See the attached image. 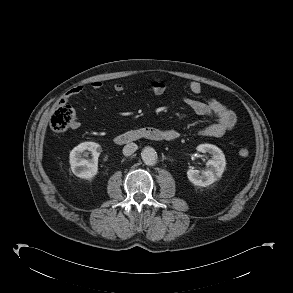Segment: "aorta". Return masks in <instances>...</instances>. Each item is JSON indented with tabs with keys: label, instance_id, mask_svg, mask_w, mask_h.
Masks as SVG:
<instances>
[{
	"label": "aorta",
	"instance_id": "762f6f07",
	"mask_svg": "<svg viewBox=\"0 0 293 293\" xmlns=\"http://www.w3.org/2000/svg\"><path fill=\"white\" fill-rule=\"evenodd\" d=\"M141 158L146 165H154L157 161V153L152 147H145L141 152Z\"/></svg>",
	"mask_w": 293,
	"mask_h": 293
}]
</instances>
